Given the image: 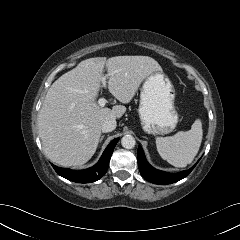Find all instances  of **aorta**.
<instances>
[{"label":"aorta","instance_id":"762f6f07","mask_svg":"<svg viewBox=\"0 0 240 240\" xmlns=\"http://www.w3.org/2000/svg\"><path fill=\"white\" fill-rule=\"evenodd\" d=\"M121 145L126 149H132L136 145L135 138L131 135H125L121 139Z\"/></svg>","mask_w":240,"mask_h":240}]
</instances>
